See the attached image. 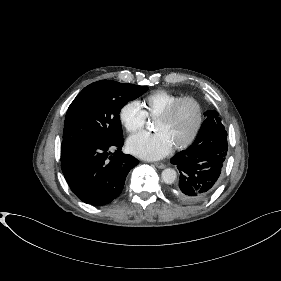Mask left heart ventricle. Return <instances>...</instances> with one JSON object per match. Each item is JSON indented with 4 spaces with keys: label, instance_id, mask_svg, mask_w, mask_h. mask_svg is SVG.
Masks as SVG:
<instances>
[{
    "label": "left heart ventricle",
    "instance_id": "obj_1",
    "mask_svg": "<svg viewBox=\"0 0 281 281\" xmlns=\"http://www.w3.org/2000/svg\"><path fill=\"white\" fill-rule=\"evenodd\" d=\"M196 119L195 105L191 102H185L168 119H155L154 130L162 132L174 146L192 133Z\"/></svg>",
    "mask_w": 281,
    "mask_h": 281
}]
</instances>
